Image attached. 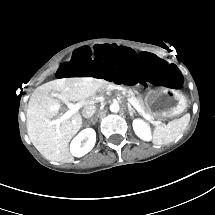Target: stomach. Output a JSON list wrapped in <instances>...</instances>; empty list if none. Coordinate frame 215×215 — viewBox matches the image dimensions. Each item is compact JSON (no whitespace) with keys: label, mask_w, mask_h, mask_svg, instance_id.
<instances>
[{"label":"stomach","mask_w":215,"mask_h":215,"mask_svg":"<svg viewBox=\"0 0 215 215\" xmlns=\"http://www.w3.org/2000/svg\"><path fill=\"white\" fill-rule=\"evenodd\" d=\"M134 92L142 100L146 110L157 118L175 117L187 108L186 97L176 89L158 87L144 91L141 87H136Z\"/></svg>","instance_id":"1"}]
</instances>
